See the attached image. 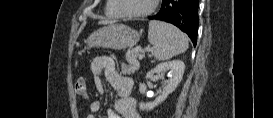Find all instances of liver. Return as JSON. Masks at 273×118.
Segmentation results:
<instances>
[{"label": "liver", "instance_id": "6515ba94", "mask_svg": "<svg viewBox=\"0 0 273 118\" xmlns=\"http://www.w3.org/2000/svg\"><path fill=\"white\" fill-rule=\"evenodd\" d=\"M99 23L100 24H108V23H110V21L105 20V21H100Z\"/></svg>", "mask_w": 273, "mask_h": 118}]
</instances>
